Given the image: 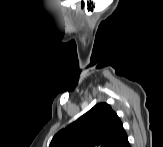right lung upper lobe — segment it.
<instances>
[{
    "instance_id": "right-lung-upper-lobe-1",
    "label": "right lung upper lobe",
    "mask_w": 163,
    "mask_h": 147,
    "mask_svg": "<svg viewBox=\"0 0 163 147\" xmlns=\"http://www.w3.org/2000/svg\"><path fill=\"white\" fill-rule=\"evenodd\" d=\"M126 132L107 103H99L60 130L49 147H113Z\"/></svg>"
}]
</instances>
